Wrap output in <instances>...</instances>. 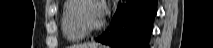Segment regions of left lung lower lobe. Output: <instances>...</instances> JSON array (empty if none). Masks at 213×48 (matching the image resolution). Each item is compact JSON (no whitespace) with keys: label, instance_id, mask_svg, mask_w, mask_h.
Masks as SVG:
<instances>
[{"label":"left lung lower lobe","instance_id":"obj_1","mask_svg":"<svg viewBox=\"0 0 213 48\" xmlns=\"http://www.w3.org/2000/svg\"><path fill=\"white\" fill-rule=\"evenodd\" d=\"M157 0H129L121 5L113 17L111 27L96 41L112 48H149Z\"/></svg>","mask_w":213,"mask_h":48}]
</instances>
